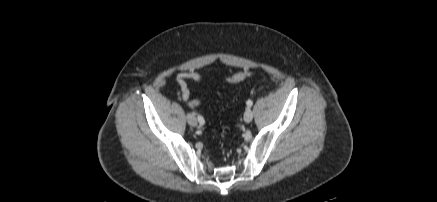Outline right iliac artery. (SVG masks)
<instances>
[{
    "label": "right iliac artery",
    "instance_id": "right-iliac-artery-1",
    "mask_svg": "<svg viewBox=\"0 0 437 202\" xmlns=\"http://www.w3.org/2000/svg\"><path fill=\"white\" fill-rule=\"evenodd\" d=\"M198 122L200 123V125H203L205 123L204 118L201 115L197 116Z\"/></svg>",
    "mask_w": 437,
    "mask_h": 202
}]
</instances>
